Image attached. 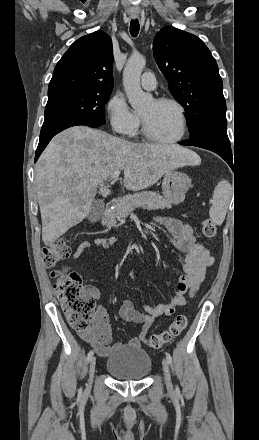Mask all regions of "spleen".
<instances>
[{
	"label": "spleen",
	"mask_w": 259,
	"mask_h": 440,
	"mask_svg": "<svg viewBox=\"0 0 259 440\" xmlns=\"http://www.w3.org/2000/svg\"><path fill=\"white\" fill-rule=\"evenodd\" d=\"M231 196V184L227 180L220 181L214 189L213 204L209 210L210 218L216 225L223 223Z\"/></svg>",
	"instance_id": "1"
}]
</instances>
